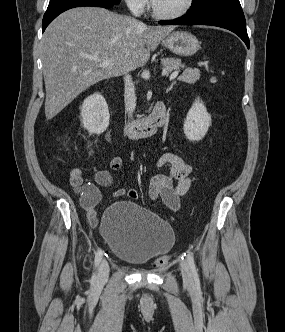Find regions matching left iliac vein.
<instances>
[{
  "label": "left iliac vein",
  "mask_w": 285,
  "mask_h": 332,
  "mask_svg": "<svg viewBox=\"0 0 285 332\" xmlns=\"http://www.w3.org/2000/svg\"><path fill=\"white\" fill-rule=\"evenodd\" d=\"M180 267L184 283H186L187 285H192L193 277L187 261H181Z\"/></svg>",
  "instance_id": "left-iliac-vein-1"
}]
</instances>
